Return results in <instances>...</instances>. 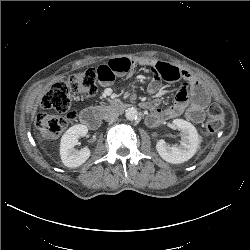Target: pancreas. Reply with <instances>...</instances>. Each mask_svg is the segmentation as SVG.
I'll list each match as a JSON object with an SVG mask.
<instances>
[{"label": "pancreas", "instance_id": "obj_1", "mask_svg": "<svg viewBox=\"0 0 250 250\" xmlns=\"http://www.w3.org/2000/svg\"><path fill=\"white\" fill-rule=\"evenodd\" d=\"M100 108H101V110H103V111L106 109V107H105L104 105L100 106Z\"/></svg>", "mask_w": 250, "mask_h": 250}]
</instances>
